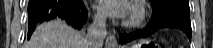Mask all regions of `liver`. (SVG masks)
<instances>
[{
    "mask_svg": "<svg viewBox=\"0 0 213 48\" xmlns=\"http://www.w3.org/2000/svg\"><path fill=\"white\" fill-rule=\"evenodd\" d=\"M24 48H87L85 37L60 19L39 25Z\"/></svg>",
    "mask_w": 213,
    "mask_h": 48,
    "instance_id": "1",
    "label": "liver"
}]
</instances>
